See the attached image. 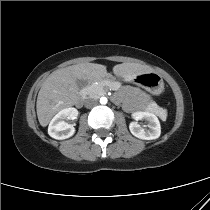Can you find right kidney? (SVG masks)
I'll use <instances>...</instances> for the list:
<instances>
[{"label":"right kidney","instance_id":"obj_1","mask_svg":"<svg viewBox=\"0 0 210 210\" xmlns=\"http://www.w3.org/2000/svg\"><path fill=\"white\" fill-rule=\"evenodd\" d=\"M78 116L76 108H65L58 112L51 120L48 126V134L58 140L67 139L74 135L75 128L73 125L68 124L65 119L74 120Z\"/></svg>","mask_w":210,"mask_h":210}]
</instances>
